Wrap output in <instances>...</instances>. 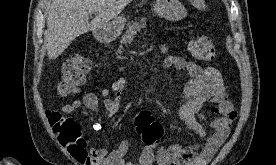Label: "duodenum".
<instances>
[{
  "instance_id": "1",
  "label": "duodenum",
  "mask_w": 276,
  "mask_h": 165,
  "mask_svg": "<svg viewBox=\"0 0 276 165\" xmlns=\"http://www.w3.org/2000/svg\"><path fill=\"white\" fill-rule=\"evenodd\" d=\"M101 39H102V40H106V36H105V35H102V36H101Z\"/></svg>"
}]
</instances>
